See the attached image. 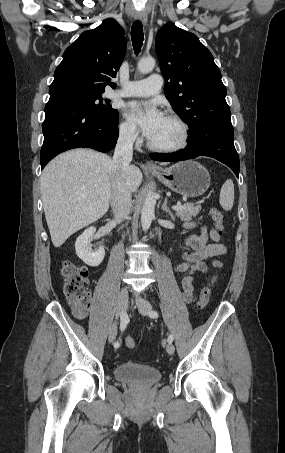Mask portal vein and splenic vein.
Returning a JSON list of instances; mask_svg holds the SVG:
<instances>
[{
    "mask_svg": "<svg viewBox=\"0 0 285 453\" xmlns=\"http://www.w3.org/2000/svg\"><path fill=\"white\" fill-rule=\"evenodd\" d=\"M182 208H184V206L181 205L180 203H177L176 205L172 206L173 210H179V209H182Z\"/></svg>",
    "mask_w": 285,
    "mask_h": 453,
    "instance_id": "obj_1",
    "label": "portal vein and splenic vein"
}]
</instances>
